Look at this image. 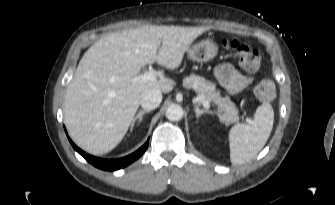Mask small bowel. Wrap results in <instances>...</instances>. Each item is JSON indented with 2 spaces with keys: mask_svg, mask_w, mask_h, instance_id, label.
I'll list each match as a JSON object with an SVG mask.
<instances>
[{
  "mask_svg": "<svg viewBox=\"0 0 335 205\" xmlns=\"http://www.w3.org/2000/svg\"><path fill=\"white\" fill-rule=\"evenodd\" d=\"M214 74L221 86L232 94L241 92L253 81L252 77L242 74L229 63L216 66Z\"/></svg>",
  "mask_w": 335,
  "mask_h": 205,
  "instance_id": "small-bowel-1",
  "label": "small bowel"
}]
</instances>
